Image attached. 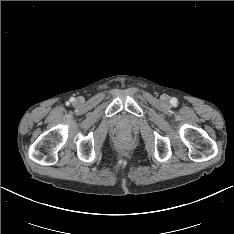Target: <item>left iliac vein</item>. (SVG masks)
Masks as SVG:
<instances>
[{
    "instance_id": "4c4485c4",
    "label": "left iliac vein",
    "mask_w": 234,
    "mask_h": 234,
    "mask_svg": "<svg viewBox=\"0 0 234 234\" xmlns=\"http://www.w3.org/2000/svg\"><path fill=\"white\" fill-rule=\"evenodd\" d=\"M164 100H167V97H164Z\"/></svg>"
}]
</instances>
